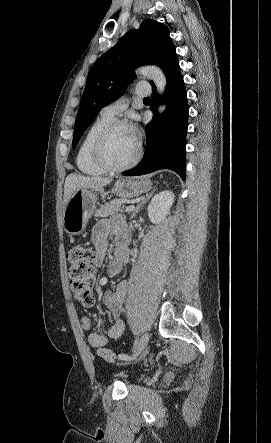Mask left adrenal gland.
Listing matches in <instances>:
<instances>
[{
    "instance_id": "a2214340",
    "label": "left adrenal gland",
    "mask_w": 271,
    "mask_h": 443,
    "mask_svg": "<svg viewBox=\"0 0 271 443\" xmlns=\"http://www.w3.org/2000/svg\"><path fill=\"white\" fill-rule=\"evenodd\" d=\"M155 190H153V192H151L150 196H145L144 200H141L140 204H138L135 212H133L132 216H130V220H132V218H135L136 214H139L143 204H145V202H147V200H150L151 196H153Z\"/></svg>"
}]
</instances>
